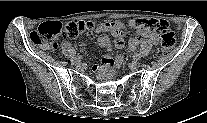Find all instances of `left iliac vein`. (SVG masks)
<instances>
[{"instance_id": "left-iliac-vein-1", "label": "left iliac vein", "mask_w": 207, "mask_h": 123, "mask_svg": "<svg viewBox=\"0 0 207 123\" xmlns=\"http://www.w3.org/2000/svg\"><path fill=\"white\" fill-rule=\"evenodd\" d=\"M130 69L134 70L138 67V63L136 61H133L129 64Z\"/></svg>"}]
</instances>
